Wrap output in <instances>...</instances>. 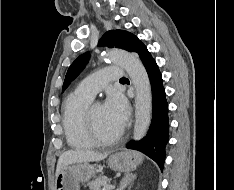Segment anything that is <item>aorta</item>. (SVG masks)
Segmentation results:
<instances>
[{"mask_svg":"<svg viewBox=\"0 0 234 190\" xmlns=\"http://www.w3.org/2000/svg\"><path fill=\"white\" fill-rule=\"evenodd\" d=\"M103 59L123 67L135 87V125L133 139L144 137L151 121L152 95L148 74L137 55L120 49L107 50Z\"/></svg>","mask_w":234,"mask_h":190,"instance_id":"762f6f07","label":"aorta"}]
</instances>
